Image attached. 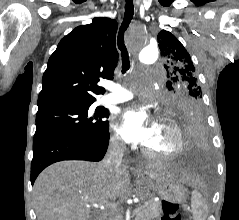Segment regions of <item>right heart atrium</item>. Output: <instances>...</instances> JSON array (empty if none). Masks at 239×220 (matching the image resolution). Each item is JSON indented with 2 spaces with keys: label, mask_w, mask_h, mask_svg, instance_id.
<instances>
[{
  "label": "right heart atrium",
  "mask_w": 239,
  "mask_h": 220,
  "mask_svg": "<svg viewBox=\"0 0 239 220\" xmlns=\"http://www.w3.org/2000/svg\"><path fill=\"white\" fill-rule=\"evenodd\" d=\"M110 144L116 150H122L124 148V143H123L121 137L116 132H113L111 134Z\"/></svg>",
  "instance_id": "d8ad5b80"
}]
</instances>
